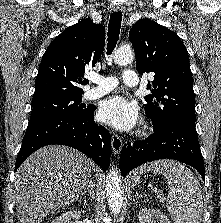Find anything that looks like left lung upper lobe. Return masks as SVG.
Returning a JSON list of instances; mask_svg holds the SVG:
<instances>
[{
  "label": "left lung upper lobe",
  "mask_w": 221,
  "mask_h": 223,
  "mask_svg": "<svg viewBox=\"0 0 221 223\" xmlns=\"http://www.w3.org/2000/svg\"><path fill=\"white\" fill-rule=\"evenodd\" d=\"M129 40L138 73H154L152 95L145 96V113L155 129L175 119L195 121V94L186 47L173 31L150 19L138 20Z\"/></svg>",
  "instance_id": "obj_1"
}]
</instances>
